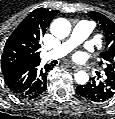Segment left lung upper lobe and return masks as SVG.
I'll list each match as a JSON object with an SVG mask.
<instances>
[{
  "mask_svg": "<svg viewBox=\"0 0 115 119\" xmlns=\"http://www.w3.org/2000/svg\"><path fill=\"white\" fill-rule=\"evenodd\" d=\"M91 18L96 21L105 41V50L101 57L105 60L107 67L104 69L106 75L115 78V24L101 13L91 11Z\"/></svg>",
  "mask_w": 115,
  "mask_h": 119,
  "instance_id": "5c2ea615",
  "label": "left lung upper lobe"
}]
</instances>
